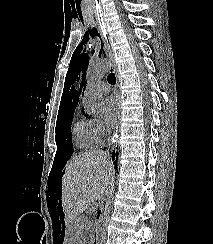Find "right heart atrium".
I'll return each instance as SVG.
<instances>
[{"label": "right heart atrium", "instance_id": "obj_1", "mask_svg": "<svg viewBox=\"0 0 213 244\" xmlns=\"http://www.w3.org/2000/svg\"><path fill=\"white\" fill-rule=\"evenodd\" d=\"M93 138L96 143H101L105 134L107 133V130L99 118H91L88 120Z\"/></svg>", "mask_w": 213, "mask_h": 244}]
</instances>
